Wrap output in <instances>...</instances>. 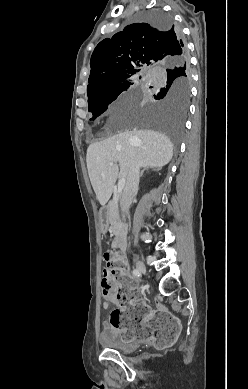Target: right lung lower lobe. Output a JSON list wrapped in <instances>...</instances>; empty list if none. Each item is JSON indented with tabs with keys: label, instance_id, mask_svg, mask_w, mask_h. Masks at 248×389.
I'll list each match as a JSON object with an SVG mask.
<instances>
[{
	"label": "right lung lower lobe",
	"instance_id": "98d812e1",
	"mask_svg": "<svg viewBox=\"0 0 248 389\" xmlns=\"http://www.w3.org/2000/svg\"><path fill=\"white\" fill-rule=\"evenodd\" d=\"M181 42H182V36L179 32V40H178V44L181 45ZM178 49H180V47H178L176 50L178 51Z\"/></svg>",
	"mask_w": 248,
	"mask_h": 389
}]
</instances>
